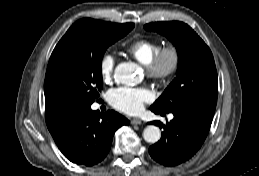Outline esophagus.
Here are the masks:
<instances>
[{
	"label": "esophagus",
	"instance_id": "34e87169",
	"mask_svg": "<svg viewBox=\"0 0 259 176\" xmlns=\"http://www.w3.org/2000/svg\"><path fill=\"white\" fill-rule=\"evenodd\" d=\"M131 124H133V125H140V124H142V120L139 119V118H133L131 120Z\"/></svg>",
	"mask_w": 259,
	"mask_h": 176
}]
</instances>
